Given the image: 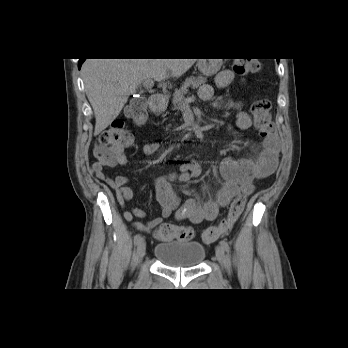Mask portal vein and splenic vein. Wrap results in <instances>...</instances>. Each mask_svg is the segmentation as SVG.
Listing matches in <instances>:
<instances>
[{
  "instance_id": "portal-vein-and-splenic-vein-1",
  "label": "portal vein and splenic vein",
  "mask_w": 348,
  "mask_h": 348,
  "mask_svg": "<svg viewBox=\"0 0 348 348\" xmlns=\"http://www.w3.org/2000/svg\"><path fill=\"white\" fill-rule=\"evenodd\" d=\"M145 88H152L154 85V81L152 79H147L143 82Z\"/></svg>"
}]
</instances>
